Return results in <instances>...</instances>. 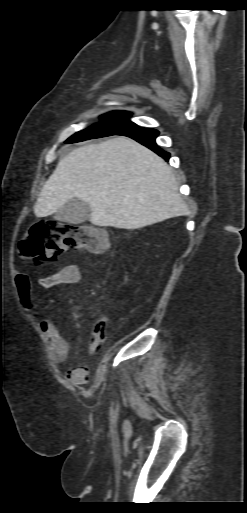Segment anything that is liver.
<instances>
[{"label": "liver", "mask_w": 247, "mask_h": 513, "mask_svg": "<svg viewBox=\"0 0 247 513\" xmlns=\"http://www.w3.org/2000/svg\"><path fill=\"white\" fill-rule=\"evenodd\" d=\"M77 198L96 226L139 229L188 213L172 169L150 149L117 136L81 146L60 159L34 213L42 218Z\"/></svg>", "instance_id": "obj_1"}]
</instances>
